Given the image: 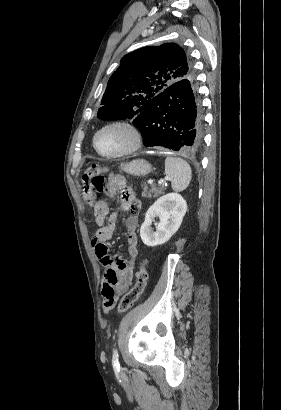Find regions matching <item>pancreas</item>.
I'll return each instance as SVG.
<instances>
[{
	"label": "pancreas",
	"mask_w": 281,
	"mask_h": 410,
	"mask_svg": "<svg viewBox=\"0 0 281 410\" xmlns=\"http://www.w3.org/2000/svg\"><path fill=\"white\" fill-rule=\"evenodd\" d=\"M163 192V188L161 187H152L150 189H148L147 186L143 187V192H142V196L145 198H151L153 197H158L159 195H161Z\"/></svg>",
	"instance_id": "1"
}]
</instances>
